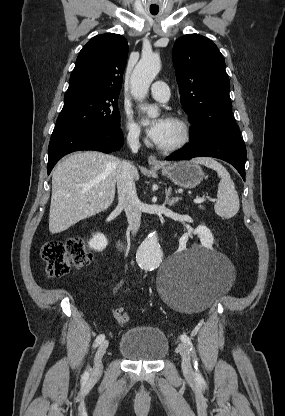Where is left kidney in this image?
<instances>
[{
    "instance_id": "1",
    "label": "left kidney",
    "mask_w": 285,
    "mask_h": 416,
    "mask_svg": "<svg viewBox=\"0 0 285 416\" xmlns=\"http://www.w3.org/2000/svg\"><path fill=\"white\" fill-rule=\"evenodd\" d=\"M195 234H198V238H200V242L203 248H208V250H212V244L214 242V238L212 236L211 230L207 228V226H198L195 230ZM187 236H182L179 240V246H184L186 248L187 244Z\"/></svg>"
}]
</instances>
